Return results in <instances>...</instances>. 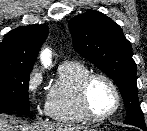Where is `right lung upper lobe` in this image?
Here are the masks:
<instances>
[{"label": "right lung upper lobe", "instance_id": "cb5924a9", "mask_svg": "<svg viewBox=\"0 0 147 131\" xmlns=\"http://www.w3.org/2000/svg\"><path fill=\"white\" fill-rule=\"evenodd\" d=\"M48 32L46 25L23 26L10 31L0 44V68L32 69Z\"/></svg>", "mask_w": 147, "mask_h": 131}]
</instances>
